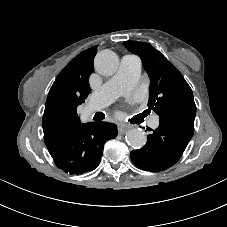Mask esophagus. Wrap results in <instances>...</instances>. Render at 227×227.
I'll list each match as a JSON object with an SVG mask.
<instances>
[{
    "label": "esophagus",
    "mask_w": 227,
    "mask_h": 227,
    "mask_svg": "<svg viewBox=\"0 0 227 227\" xmlns=\"http://www.w3.org/2000/svg\"><path fill=\"white\" fill-rule=\"evenodd\" d=\"M128 128H129V126H127V125L119 124L118 125L119 134H124L128 130Z\"/></svg>",
    "instance_id": "esophagus-1"
}]
</instances>
